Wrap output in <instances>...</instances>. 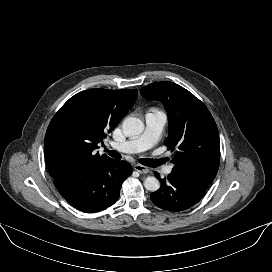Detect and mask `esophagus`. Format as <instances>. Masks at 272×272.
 Segmentation results:
<instances>
[{"label":"esophagus","mask_w":272,"mask_h":272,"mask_svg":"<svg viewBox=\"0 0 272 272\" xmlns=\"http://www.w3.org/2000/svg\"><path fill=\"white\" fill-rule=\"evenodd\" d=\"M134 169L141 174H146L149 172V169L146 166L140 164L134 165Z\"/></svg>","instance_id":"esophagus-1"}]
</instances>
